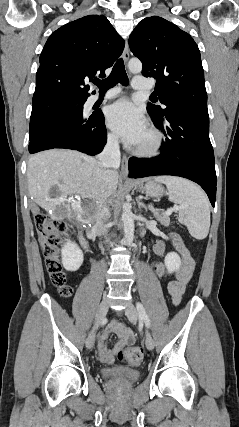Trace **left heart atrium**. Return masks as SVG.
<instances>
[{
    "mask_svg": "<svg viewBox=\"0 0 239 427\" xmlns=\"http://www.w3.org/2000/svg\"><path fill=\"white\" fill-rule=\"evenodd\" d=\"M107 125L131 145H136L147 130L143 113L128 99H120L108 108Z\"/></svg>",
    "mask_w": 239,
    "mask_h": 427,
    "instance_id": "39dd6f15",
    "label": "left heart atrium"
}]
</instances>
